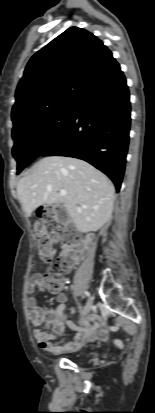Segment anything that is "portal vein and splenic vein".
Segmentation results:
<instances>
[{"label": "portal vein and splenic vein", "mask_w": 155, "mask_h": 413, "mask_svg": "<svg viewBox=\"0 0 155 413\" xmlns=\"http://www.w3.org/2000/svg\"><path fill=\"white\" fill-rule=\"evenodd\" d=\"M59 193L60 195L65 196L67 194V191L63 189V190H60Z\"/></svg>", "instance_id": "1"}]
</instances>
